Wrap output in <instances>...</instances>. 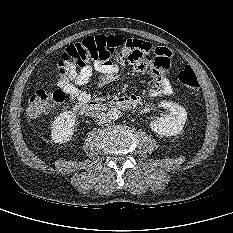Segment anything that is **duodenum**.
<instances>
[{
	"mask_svg": "<svg viewBox=\"0 0 233 233\" xmlns=\"http://www.w3.org/2000/svg\"><path fill=\"white\" fill-rule=\"evenodd\" d=\"M139 103V98L135 95L122 96L113 99L110 102H85L77 103L74 106V110L79 115L89 116L94 113L104 111L108 108H118L123 110H129L135 108Z\"/></svg>",
	"mask_w": 233,
	"mask_h": 233,
	"instance_id": "duodenum-1",
	"label": "duodenum"
}]
</instances>
